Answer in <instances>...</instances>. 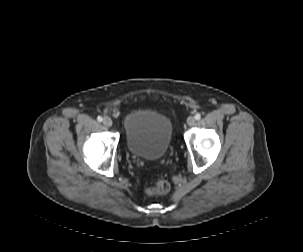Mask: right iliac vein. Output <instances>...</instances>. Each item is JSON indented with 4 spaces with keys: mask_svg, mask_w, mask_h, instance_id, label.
Returning a JSON list of instances; mask_svg holds the SVG:
<instances>
[{
    "mask_svg": "<svg viewBox=\"0 0 303 252\" xmlns=\"http://www.w3.org/2000/svg\"><path fill=\"white\" fill-rule=\"evenodd\" d=\"M103 124H104V126H106V127H111L112 124H113V122H112L111 118H105V119L103 120Z\"/></svg>",
    "mask_w": 303,
    "mask_h": 252,
    "instance_id": "right-iliac-vein-1",
    "label": "right iliac vein"
}]
</instances>
